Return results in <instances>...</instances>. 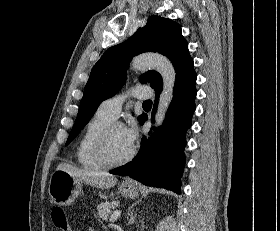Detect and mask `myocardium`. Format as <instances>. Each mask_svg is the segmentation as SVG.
<instances>
[{
	"mask_svg": "<svg viewBox=\"0 0 280 231\" xmlns=\"http://www.w3.org/2000/svg\"><path fill=\"white\" fill-rule=\"evenodd\" d=\"M115 126H121V124L116 121H112L109 124H107L98 135L93 147V155L95 159L101 162L105 167L123 166L133 158L134 154L131 150L124 158L119 160H113L109 157L107 151V141L111 130Z\"/></svg>",
	"mask_w": 280,
	"mask_h": 231,
	"instance_id": "myocardium-1",
	"label": "myocardium"
}]
</instances>
